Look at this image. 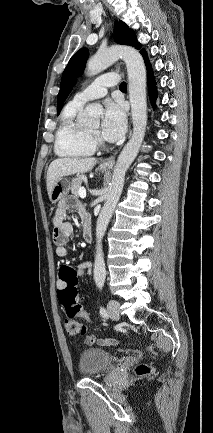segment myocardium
Masks as SVG:
<instances>
[{"label": "myocardium", "mask_w": 213, "mask_h": 433, "mask_svg": "<svg viewBox=\"0 0 213 433\" xmlns=\"http://www.w3.org/2000/svg\"><path fill=\"white\" fill-rule=\"evenodd\" d=\"M87 134L89 136L90 141L95 146V148L96 147H99V148H105L106 147V143L100 135L95 134L89 130L87 131Z\"/></svg>", "instance_id": "obj_1"}]
</instances>
